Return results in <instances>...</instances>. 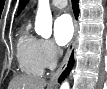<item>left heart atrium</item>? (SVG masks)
I'll use <instances>...</instances> for the list:
<instances>
[{
	"label": "left heart atrium",
	"instance_id": "1",
	"mask_svg": "<svg viewBox=\"0 0 107 89\" xmlns=\"http://www.w3.org/2000/svg\"><path fill=\"white\" fill-rule=\"evenodd\" d=\"M54 39L59 46L67 45L73 37L72 19L67 14L58 16L54 22Z\"/></svg>",
	"mask_w": 107,
	"mask_h": 89
}]
</instances>
